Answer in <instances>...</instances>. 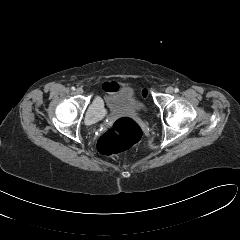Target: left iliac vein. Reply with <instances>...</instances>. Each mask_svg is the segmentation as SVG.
I'll use <instances>...</instances> for the list:
<instances>
[{"mask_svg": "<svg viewBox=\"0 0 240 240\" xmlns=\"http://www.w3.org/2000/svg\"><path fill=\"white\" fill-rule=\"evenodd\" d=\"M165 91H166V93H168V94H172L174 90H173L172 87H167Z\"/></svg>", "mask_w": 240, "mask_h": 240, "instance_id": "1", "label": "left iliac vein"}]
</instances>
